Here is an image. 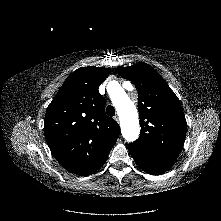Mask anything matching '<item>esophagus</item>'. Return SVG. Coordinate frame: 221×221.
Listing matches in <instances>:
<instances>
[{
  "mask_svg": "<svg viewBox=\"0 0 221 221\" xmlns=\"http://www.w3.org/2000/svg\"><path fill=\"white\" fill-rule=\"evenodd\" d=\"M114 119L115 121L119 122V117L117 115L114 117Z\"/></svg>",
  "mask_w": 221,
  "mask_h": 221,
  "instance_id": "esophagus-1",
  "label": "esophagus"
}]
</instances>
